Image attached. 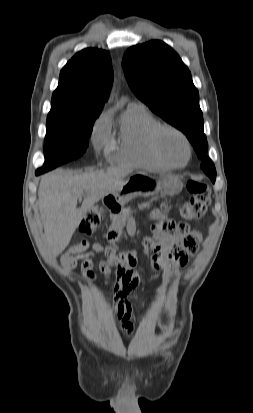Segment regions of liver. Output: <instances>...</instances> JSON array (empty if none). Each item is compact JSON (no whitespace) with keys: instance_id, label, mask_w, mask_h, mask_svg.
I'll return each instance as SVG.
<instances>
[{"instance_id":"6515ba94","label":"liver","mask_w":253,"mask_h":413,"mask_svg":"<svg viewBox=\"0 0 253 413\" xmlns=\"http://www.w3.org/2000/svg\"><path fill=\"white\" fill-rule=\"evenodd\" d=\"M128 171L120 168L84 173L55 170L44 175L38 188V205L45 245L56 257L69 245L84 212L101 198L118 190ZM86 195L80 208L77 200Z\"/></svg>"}]
</instances>
